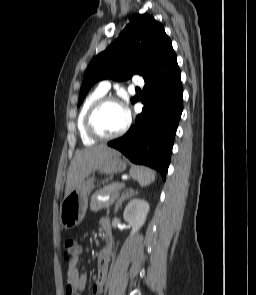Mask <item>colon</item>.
<instances>
[{
    "instance_id": "5ec220e1",
    "label": "colon",
    "mask_w": 256,
    "mask_h": 295,
    "mask_svg": "<svg viewBox=\"0 0 256 295\" xmlns=\"http://www.w3.org/2000/svg\"><path fill=\"white\" fill-rule=\"evenodd\" d=\"M81 247L76 239H66L63 246V259L71 262L78 258Z\"/></svg>"
}]
</instances>
